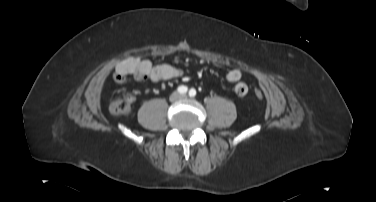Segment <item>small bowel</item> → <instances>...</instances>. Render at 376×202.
Wrapping results in <instances>:
<instances>
[{
    "label": "small bowel",
    "mask_w": 376,
    "mask_h": 202,
    "mask_svg": "<svg viewBox=\"0 0 376 202\" xmlns=\"http://www.w3.org/2000/svg\"><path fill=\"white\" fill-rule=\"evenodd\" d=\"M216 63L221 64L219 61ZM183 74L180 68L170 64L155 65L147 59L129 57L117 63L112 80L116 84H123L130 77H133L138 81L148 80L156 83L181 78ZM225 78L229 83L235 84L234 91L238 96H245L247 94L248 87L241 81L242 72L240 69L233 68L228 70Z\"/></svg>",
    "instance_id": "obj_1"
}]
</instances>
